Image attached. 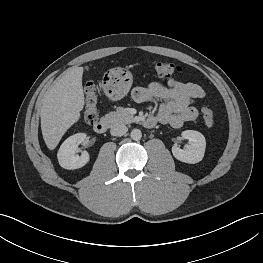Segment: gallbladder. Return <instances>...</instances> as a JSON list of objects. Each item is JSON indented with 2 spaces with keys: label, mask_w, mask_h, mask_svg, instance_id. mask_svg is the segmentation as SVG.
<instances>
[{
  "label": "gallbladder",
  "mask_w": 263,
  "mask_h": 263,
  "mask_svg": "<svg viewBox=\"0 0 263 263\" xmlns=\"http://www.w3.org/2000/svg\"><path fill=\"white\" fill-rule=\"evenodd\" d=\"M85 70H86V71H89V67H85Z\"/></svg>",
  "instance_id": "obj_1"
}]
</instances>
